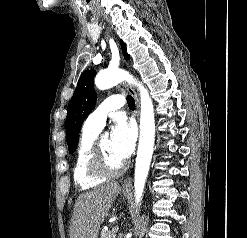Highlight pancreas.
I'll list each match as a JSON object with an SVG mask.
<instances>
[{"mask_svg": "<svg viewBox=\"0 0 247 238\" xmlns=\"http://www.w3.org/2000/svg\"><path fill=\"white\" fill-rule=\"evenodd\" d=\"M100 238H115V235L111 231H102Z\"/></svg>", "mask_w": 247, "mask_h": 238, "instance_id": "1", "label": "pancreas"}]
</instances>
